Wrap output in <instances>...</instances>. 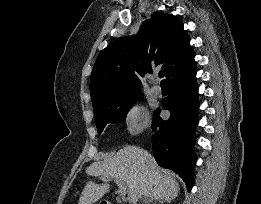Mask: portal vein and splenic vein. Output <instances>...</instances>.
I'll use <instances>...</instances> for the list:
<instances>
[{
  "instance_id": "obj_1",
  "label": "portal vein and splenic vein",
  "mask_w": 261,
  "mask_h": 204,
  "mask_svg": "<svg viewBox=\"0 0 261 204\" xmlns=\"http://www.w3.org/2000/svg\"><path fill=\"white\" fill-rule=\"evenodd\" d=\"M114 180H115V182H116V184L118 185V188H119L118 194L120 196H124L127 193V186L125 185V183L122 180H120L118 178H116Z\"/></svg>"
}]
</instances>
